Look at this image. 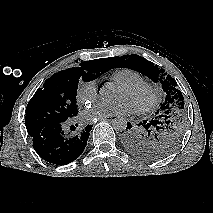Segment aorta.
Here are the masks:
<instances>
[{
    "instance_id": "762f6f07",
    "label": "aorta",
    "mask_w": 213,
    "mask_h": 213,
    "mask_svg": "<svg viewBox=\"0 0 213 213\" xmlns=\"http://www.w3.org/2000/svg\"><path fill=\"white\" fill-rule=\"evenodd\" d=\"M99 98L102 102L112 103L117 98V92L111 84L103 86L99 92ZM115 131H125L127 128V121L124 118H116L112 122Z\"/></svg>"
}]
</instances>
